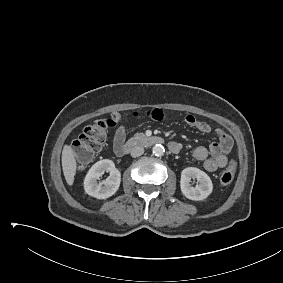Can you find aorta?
I'll use <instances>...</instances> for the list:
<instances>
[{
  "instance_id": "aorta-1",
  "label": "aorta",
  "mask_w": 283,
  "mask_h": 283,
  "mask_svg": "<svg viewBox=\"0 0 283 283\" xmlns=\"http://www.w3.org/2000/svg\"><path fill=\"white\" fill-rule=\"evenodd\" d=\"M152 150L155 156H162L165 152V149L161 144L154 145Z\"/></svg>"
}]
</instances>
